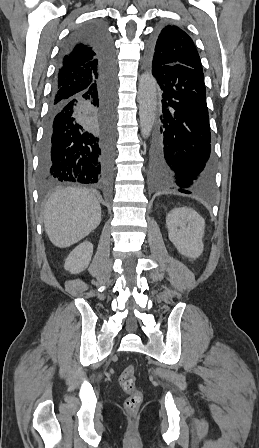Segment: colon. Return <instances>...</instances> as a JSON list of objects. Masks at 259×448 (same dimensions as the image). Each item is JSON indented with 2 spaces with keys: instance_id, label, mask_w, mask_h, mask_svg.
<instances>
[{
  "instance_id": "obj_1",
  "label": "colon",
  "mask_w": 259,
  "mask_h": 448,
  "mask_svg": "<svg viewBox=\"0 0 259 448\" xmlns=\"http://www.w3.org/2000/svg\"><path fill=\"white\" fill-rule=\"evenodd\" d=\"M119 384L123 391L128 394L125 400V409L130 414H135L142 403V393L136 387V368L128 365L119 377Z\"/></svg>"
}]
</instances>
